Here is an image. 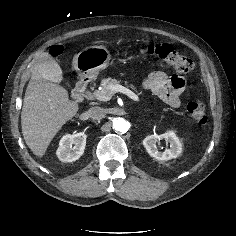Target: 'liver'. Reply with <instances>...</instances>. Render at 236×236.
<instances>
[{
    "mask_svg": "<svg viewBox=\"0 0 236 236\" xmlns=\"http://www.w3.org/2000/svg\"><path fill=\"white\" fill-rule=\"evenodd\" d=\"M45 66L38 62L28 83L22 112V134L27 146L42 157L51 140L78 112L79 106L69 100L68 92L52 82Z\"/></svg>",
    "mask_w": 236,
    "mask_h": 236,
    "instance_id": "1",
    "label": "liver"
}]
</instances>
